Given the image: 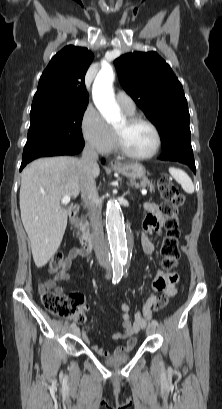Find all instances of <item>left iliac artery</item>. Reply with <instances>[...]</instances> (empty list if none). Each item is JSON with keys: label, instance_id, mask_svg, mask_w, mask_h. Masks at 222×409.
Instances as JSON below:
<instances>
[{"label": "left iliac artery", "instance_id": "left-iliac-artery-1", "mask_svg": "<svg viewBox=\"0 0 222 409\" xmlns=\"http://www.w3.org/2000/svg\"><path fill=\"white\" fill-rule=\"evenodd\" d=\"M153 325H155V326H158V322H157V320H152V322H151Z\"/></svg>", "mask_w": 222, "mask_h": 409}]
</instances>
